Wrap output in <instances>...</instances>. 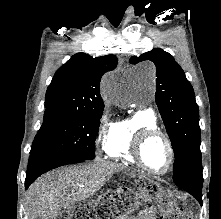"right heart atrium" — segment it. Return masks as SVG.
<instances>
[{"instance_id":"d8ad5b80","label":"right heart atrium","mask_w":221,"mask_h":219,"mask_svg":"<svg viewBox=\"0 0 221 219\" xmlns=\"http://www.w3.org/2000/svg\"><path fill=\"white\" fill-rule=\"evenodd\" d=\"M112 125H113V122L110 120L109 111H106L104 116L101 119L100 126H99L98 133H97V141L102 146L103 149H105L108 135H109Z\"/></svg>"}]
</instances>
